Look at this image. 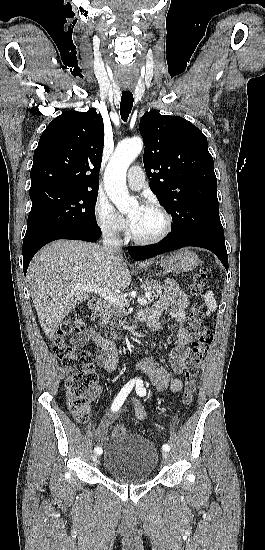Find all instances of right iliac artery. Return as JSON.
Returning a JSON list of instances; mask_svg holds the SVG:
<instances>
[{
  "mask_svg": "<svg viewBox=\"0 0 265 550\" xmlns=\"http://www.w3.org/2000/svg\"><path fill=\"white\" fill-rule=\"evenodd\" d=\"M139 380H135V379H132L130 380L127 384L124 385V387L121 389V391L119 392V394L116 396V398L114 399L113 403H112V406H111V410L113 412L115 411H118L120 409V407L122 406V404L124 403L126 397L128 396V394L131 392V390L133 389L134 385L138 382ZM95 452L97 454H101L102 453V448L101 447H96L95 448Z\"/></svg>",
  "mask_w": 265,
  "mask_h": 550,
  "instance_id": "82829eb1",
  "label": "right iliac artery"
}]
</instances>
